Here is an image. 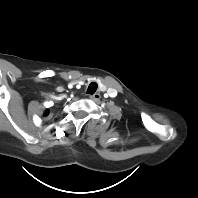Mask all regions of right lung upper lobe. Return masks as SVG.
<instances>
[{"instance_id": "1", "label": "right lung upper lobe", "mask_w": 198, "mask_h": 198, "mask_svg": "<svg viewBox=\"0 0 198 198\" xmlns=\"http://www.w3.org/2000/svg\"><path fill=\"white\" fill-rule=\"evenodd\" d=\"M49 114V111L48 110H46V112L44 113V115L46 116V115H48Z\"/></svg>"}]
</instances>
